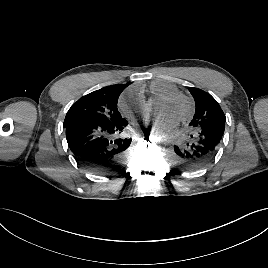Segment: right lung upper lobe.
I'll return each instance as SVG.
<instances>
[{
	"label": "right lung upper lobe",
	"instance_id": "cb5924a9",
	"mask_svg": "<svg viewBox=\"0 0 268 268\" xmlns=\"http://www.w3.org/2000/svg\"><path fill=\"white\" fill-rule=\"evenodd\" d=\"M130 83H127V84H116V85H113L114 87H119V88H126Z\"/></svg>",
	"mask_w": 268,
	"mask_h": 268
}]
</instances>
